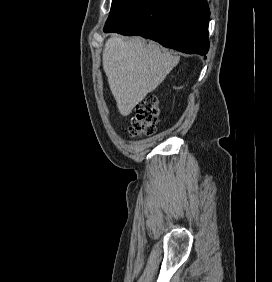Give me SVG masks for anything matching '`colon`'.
<instances>
[{
    "mask_svg": "<svg viewBox=\"0 0 272 282\" xmlns=\"http://www.w3.org/2000/svg\"><path fill=\"white\" fill-rule=\"evenodd\" d=\"M157 120V100L151 96L136 105L134 115L130 120L129 136L143 137L153 135Z\"/></svg>",
    "mask_w": 272,
    "mask_h": 282,
    "instance_id": "colon-1",
    "label": "colon"
}]
</instances>
